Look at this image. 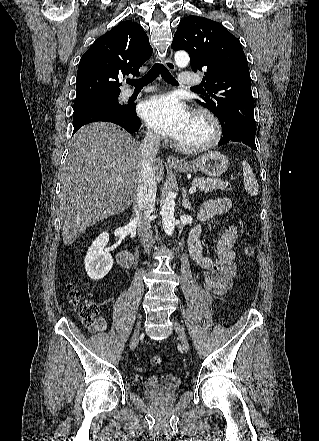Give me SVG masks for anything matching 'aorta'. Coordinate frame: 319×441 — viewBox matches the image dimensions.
Masks as SVG:
<instances>
[{
  "label": "aorta",
  "mask_w": 319,
  "mask_h": 441,
  "mask_svg": "<svg viewBox=\"0 0 319 441\" xmlns=\"http://www.w3.org/2000/svg\"><path fill=\"white\" fill-rule=\"evenodd\" d=\"M174 60L178 67H186L189 64L190 58L186 51L179 50L175 53ZM174 210H175L174 194L172 192H169L164 200L161 209L163 228L168 236H172L176 225Z\"/></svg>",
  "instance_id": "aorta-1"
}]
</instances>
